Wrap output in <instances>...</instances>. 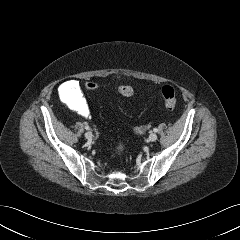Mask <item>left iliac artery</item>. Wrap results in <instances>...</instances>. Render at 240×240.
<instances>
[{
  "label": "left iliac artery",
  "instance_id": "obj_1",
  "mask_svg": "<svg viewBox=\"0 0 240 240\" xmlns=\"http://www.w3.org/2000/svg\"><path fill=\"white\" fill-rule=\"evenodd\" d=\"M153 131H154V132H158V129H157V128H154Z\"/></svg>",
  "mask_w": 240,
  "mask_h": 240
}]
</instances>
